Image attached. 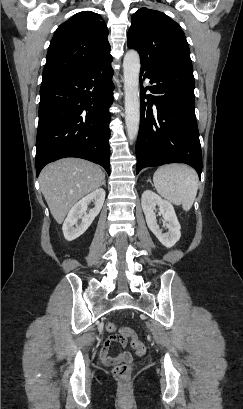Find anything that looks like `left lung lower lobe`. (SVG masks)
Here are the masks:
<instances>
[{
    "instance_id": "left-lung-lower-lobe-1",
    "label": "left lung lower lobe",
    "mask_w": 243,
    "mask_h": 409,
    "mask_svg": "<svg viewBox=\"0 0 243 409\" xmlns=\"http://www.w3.org/2000/svg\"><path fill=\"white\" fill-rule=\"evenodd\" d=\"M149 78L151 94L142 91ZM140 127L136 145L138 174L142 168L186 163L201 177L202 151L194 106L193 69L172 65L153 72L140 71ZM147 99V101H144Z\"/></svg>"
}]
</instances>
